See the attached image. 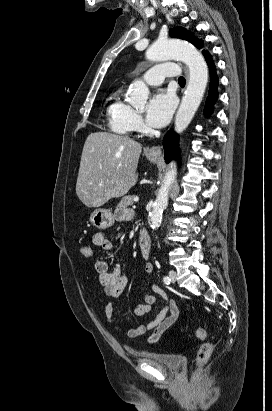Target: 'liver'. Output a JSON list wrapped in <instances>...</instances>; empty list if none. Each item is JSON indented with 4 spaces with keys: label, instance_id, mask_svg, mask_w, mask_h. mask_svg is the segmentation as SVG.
I'll return each instance as SVG.
<instances>
[{
    "label": "liver",
    "instance_id": "6515ba94",
    "mask_svg": "<svg viewBox=\"0 0 272 411\" xmlns=\"http://www.w3.org/2000/svg\"><path fill=\"white\" fill-rule=\"evenodd\" d=\"M142 146L127 136L90 134L84 144L76 194L87 207H100L125 195L138 179Z\"/></svg>",
    "mask_w": 272,
    "mask_h": 411
}]
</instances>
